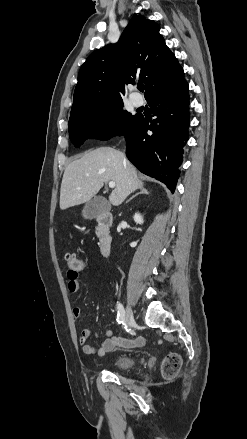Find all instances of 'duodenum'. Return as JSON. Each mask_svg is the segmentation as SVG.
Instances as JSON below:
<instances>
[{"label": "duodenum", "instance_id": "duodenum-1", "mask_svg": "<svg viewBox=\"0 0 247 439\" xmlns=\"http://www.w3.org/2000/svg\"><path fill=\"white\" fill-rule=\"evenodd\" d=\"M96 221L100 251L104 256H107L110 252L112 244V236L110 232V228L113 223L112 214L109 212L102 213L97 216Z\"/></svg>", "mask_w": 247, "mask_h": 439}]
</instances>
